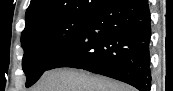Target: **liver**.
I'll return each mask as SVG.
<instances>
[{"mask_svg":"<svg viewBox=\"0 0 173 91\" xmlns=\"http://www.w3.org/2000/svg\"><path fill=\"white\" fill-rule=\"evenodd\" d=\"M30 91H134L122 82L75 68L46 71Z\"/></svg>","mask_w":173,"mask_h":91,"instance_id":"liver-1","label":"liver"}]
</instances>
